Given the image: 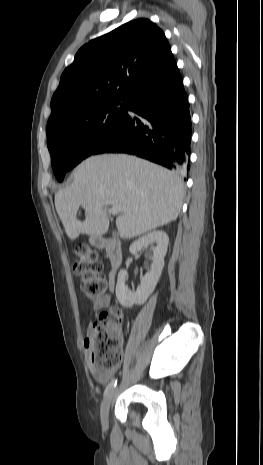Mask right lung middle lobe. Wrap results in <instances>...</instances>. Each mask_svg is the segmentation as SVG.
<instances>
[{
  "mask_svg": "<svg viewBox=\"0 0 263 465\" xmlns=\"http://www.w3.org/2000/svg\"><path fill=\"white\" fill-rule=\"evenodd\" d=\"M127 105L128 99L98 101L73 109L48 123L47 146L58 181L95 153L126 115Z\"/></svg>",
  "mask_w": 263,
  "mask_h": 465,
  "instance_id": "obj_1",
  "label": "right lung middle lobe"
}]
</instances>
